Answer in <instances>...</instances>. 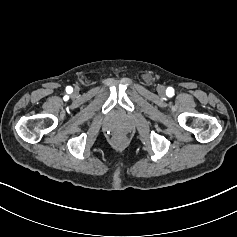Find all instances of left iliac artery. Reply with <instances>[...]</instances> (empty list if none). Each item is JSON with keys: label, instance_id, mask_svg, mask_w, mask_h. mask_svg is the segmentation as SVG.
<instances>
[{"label": "left iliac artery", "instance_id": "1", "mask_svg": "<svg viewBox=\"0 0 237 237\" xmlns=\"http://www.w3.org/2000/svg\"><path fill=\"white\" fill-rule=\"evenodd\" d=\"M166 94L168 97H172L174 95V89L172 87H168L166 90Z\"/></svg>", "mask_w": 237, "mask_h": 237}]
</instances>
